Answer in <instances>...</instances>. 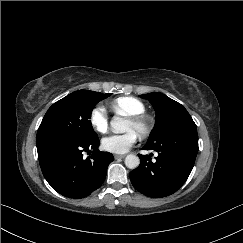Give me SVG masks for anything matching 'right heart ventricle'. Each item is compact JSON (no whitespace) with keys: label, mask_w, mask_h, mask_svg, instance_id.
Returning a JSON list of instances; mask_svg holds the SVG:
<instances>
[{"label":"right heart ventricle","mask_w":243,"mask_h":243,"mask_svg":"<svg viewBox=\"0 0 243 243\" xmlns=\"http://www.w3.org/2000/svg\"><path fill=\"white\" fill-rule=\"evenodd\" d=\"M109 109L115 114L125 116L143 114L145 106L142 101L132 96H121L108 103Z\"/></svg>","instance_id":"1"}]
</instances>
